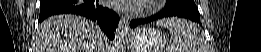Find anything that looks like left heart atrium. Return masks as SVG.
<instances>
[{
    "label": "left heart atrium",
    "mask_w": 261,
    "mask_h": 52,
    "mask_svg": "<svg viewBox=\"0 0 261 52\" xmlns=\"http://www.w3.org/2000/svg\"><path fill=\"white\" fill-rule=\"evenodd\" d=\"M147 0H113L112 7L116 9L135 10Z\"/></svg>",
    "instance_id": "1"
}]
</instances>
